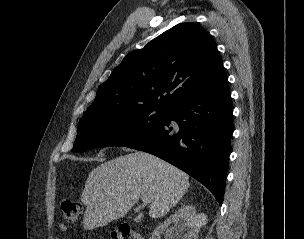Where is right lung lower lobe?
Masks as SVG:
<instances>
[{
  "mask_svg": "<svg viewBox=\"0 0 304 239\" xmlns=\"http://www.w3.org/2000/svg\"><path fill=\"white\" fill-rule=\"evenodd\" d=\"M233 108L223 73L208 87L166 108L151 133L127 145L153 154L206 186L221 205L230 155Z\"/></svg>",
  "mask_w": 304,
  "mask_h": 239,
  "instance_id": "right-lung-lower-lobe-1",
  "label": "right lung lower lobe"
}]
</instances>
